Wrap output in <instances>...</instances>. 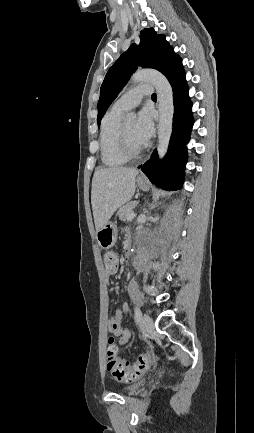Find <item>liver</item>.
<instances>
[{"mask_svg":"<svg viewBox=\"0 0 254 433\" xmlns=\"http://www.w3.org/2000/svg\"><path fill=\"white\" fill-rule=\"evenodd\" d=\"M139 171L127 167L99 168L92 179L91 204L96 231L100 230L114 212L127 203L135 192Z\"/></svg>","mask_w":254,"mask_h":433,"instance_id":"obj_1","label":"liver"}]
</instances>
